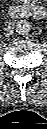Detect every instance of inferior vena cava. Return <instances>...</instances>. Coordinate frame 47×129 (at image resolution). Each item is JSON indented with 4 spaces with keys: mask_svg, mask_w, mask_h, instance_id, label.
<instances>
[{
    "mask_svg": "<svg viewBox=\"0 0 47 129\" xmlns=\"http://www.w3.org/2000/svg\"><path fill=\"white\" fill-rule=\"evenodd\" d=\"M6 32H7V35H11L13 33V27L9 26L7 29H6Z\"/></svg>",
    "mask_w": 47,
    "mask_h": 129,
    "instance_id": "602c4592",
    "label": "inferior vena cava"
}]
</instances>
